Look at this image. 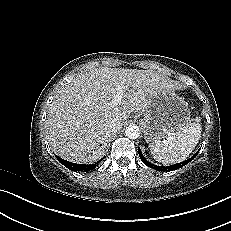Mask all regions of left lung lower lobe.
I'll use <instances>...</instances> for the list:
<instances>
[{
    "label": "left lung lower lobe",
    "mask_w": 231,
    "mask_h": 231,
    "mask_svg": "<svg viewBox=\"0 0 231 231\" xmlns=\"http://www.w3.org/2000/svg\"><path fill=\"white\" fill-rule=\"evenodd\" d=\"M199 150L197 151L196 154H194V156H192L190 159H187L181 163H177V164H174V165H171V166H156L154 164H151L150 162H148L145 157L143 156L140 148H138V153H139V156L142 160V162L147 165L148 167L150 168H153L155 170H158V171H171V170H176V169H179L181 167H183L184 165L188 164L190 161H192L198 154Z\"/></svg>",
    "instance_id": "left-lung-lower-lobe-1"
}]
</instances>
